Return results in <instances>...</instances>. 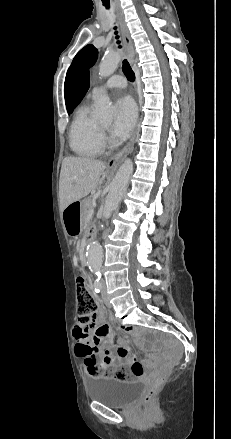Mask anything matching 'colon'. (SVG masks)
<instances>
[{"instance_id": "colon-1", "label": "colon", "mask_w": 231, "mask_h": 439, "mask_svg": "<svg viewBox=\"0 0 231 439\" xmlns=\"http://www.w3.org/2000/svg\"><path fill=\"white\" fill-rule=\"evenodd\" d=\"M76 287L78 294V320L83 325H89L95 315L97 309V302L87 287L86 279L83 276H78L76 279ZM122 331L124 333H131L133 328L131 326H123ZM86 366L88 371L92 375H98L105 370L104 363H98L94 360H87ZM141 373V366L136 363L130 368L121 367L114 372V377L119 380H126L131 376H137ZM166 375L161 374L156 378L152 379L145 392L143 393L142 400L144 402L149 401L156 390L165 381Z\"/></svg>"}]
</instances>
